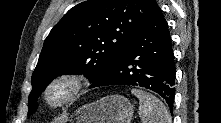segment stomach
I'll use <instances>...</instances> for the list:
<instances>
[{"instance_id":"obj_1","label":"stomach","mask_w":221,"mask_h":123,"mask_svg":"<svg viewBox=\"0 0 221 123\" xmlns=\"http://www.w3.org/2000/svg\"><path fill=\"white\" fill-rule=\"evenodd\" d=\"M134 106L124 96L110 95L76 109L69 123H130Z\"/></svg>"}]
</instances>
